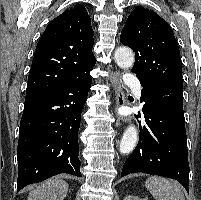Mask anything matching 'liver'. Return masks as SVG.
Returning <instances> with one entry per match:
<instances>
[{"mask_svg": "<svg viewBox=\"0 0 201 200\" xmlns=\"http://www.w3.org/2000/svg\"><path fill=\"white\" fill-rule=\"evenodd\" d=\"M68 192L66 181L58 178L49 179L32 190L27 200H64Z\"/></svg>", "mask_w": 201, "mask_h": 200, "instance_id": "liver-1", "label": "liver"}]
</instances>
